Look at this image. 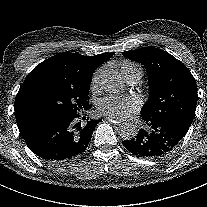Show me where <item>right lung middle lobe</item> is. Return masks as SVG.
Segmentation results:
<instances>
[{"instance_id": "right-lung-middle-lobe-1", "label": "right lung middle lobe", "mask_w": 207, "mask_h": 207, "mask_svg": "<svg viewBox=\"0 0 207 207\" xmlns=\"http://www.w3.org/2000/svg\"><path fill=\"white\" fill-rule=\"evenodd\" d=\"M89 89H79L66 83L35 79L23 84L15 99V115L21 123L52 118L76 117L89 110Z\"/></svg>"}]
</instances>
